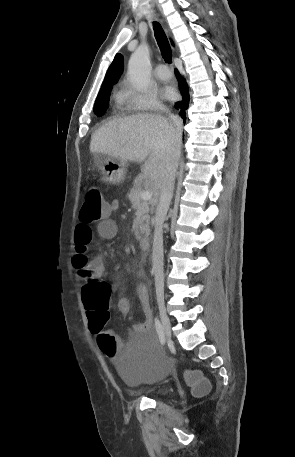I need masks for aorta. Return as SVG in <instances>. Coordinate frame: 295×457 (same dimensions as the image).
<instances>
[{
  "instance_id": "aorta-1",
  "label": "aorta",
  "mask_w": 295,
  "mask_h": 457,
  "mask_svg": "<svg viewBox=\"0 0 295 457\" xmlns=\"http://www.w3.org/2000/svg\"><path fill=\"white\" fill-rule=\"evenodd\" d=\"M128 77L132 86L139 92H146L150 85V50L141 44L128 62Z\"/></svg>"
}]
</instances>
